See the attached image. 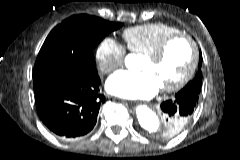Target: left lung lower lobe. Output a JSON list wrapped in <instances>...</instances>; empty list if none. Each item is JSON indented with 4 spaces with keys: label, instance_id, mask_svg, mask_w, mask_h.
Instances as JSON below:
<instances>
[{
    "label": "left lung lower lobe",
    "instance_id": "0a47b994",
    "mask_svg": "<svg viewBox=\"0 0 240 160\" xmlns=\"http://www.w3.org/2000/svg\"><path fill=\"white\" fill-rule=\"evenodd\" d=\"M199 95L188 91H180L173 100H167L161 104V110L165 115L167 129L171 134H175L184 126H179L175 121L179 118L191 117Z\"/></svg>",
    "mask_w": 240,
    "mask_h": 160
}]
</instances>
